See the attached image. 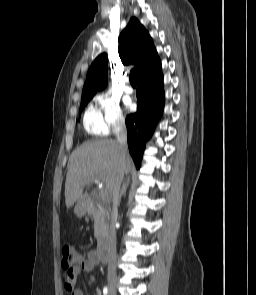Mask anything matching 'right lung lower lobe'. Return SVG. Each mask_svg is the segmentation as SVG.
<instances>
[{"label":"right lung lower lobe","mask_w":256,"mask_h":295,"mask_svg":"<svg viewBox=\"0 0 256 295\" xmlns=\"http://www.w3.org/2000/svg\"><path fill=\"white\" fill-rule=\"evenodd\" d=\"M137 112L126 117L128 147L137 168L145 143L152 135L164 107L163 75L160 62L137 79Z\"/></svg>","instance_id":"obj_1"}]
</instances>
